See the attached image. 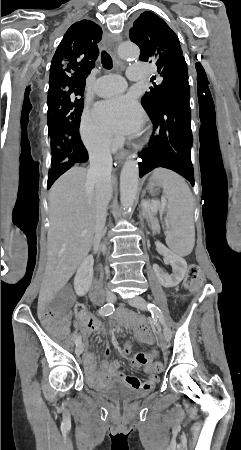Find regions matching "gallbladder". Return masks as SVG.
Here are the masks:
<instances>
[{"instance_id": "1", "label": "gallbladder", "mask_w": 241, "mask_h": 450, "mask_svg": "<svg viewBox=\"0 0 241 450\" xmlns=\"http://www.w3.org/2000/svg\"><path fill=\"white\" fill-rule=\"evenodd\" d=\"M73 284L67 283L66 286H62L60 288V291L57 292V299L59 301H56L54 304V307L56 308V313L59 316L66 315L67 310L72 309L73 304Z\"/></svg>"}]
</instances>
